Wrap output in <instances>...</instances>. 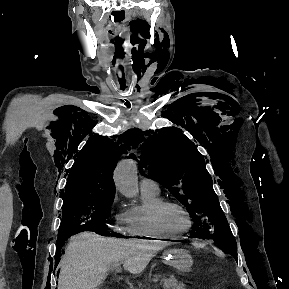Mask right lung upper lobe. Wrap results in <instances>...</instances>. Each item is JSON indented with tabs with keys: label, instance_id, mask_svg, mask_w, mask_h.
I'll list each match as a JSON object with an SVG mask.
<instances>
[{
	"label": "right lung upper lobe",
	"instance_id": "cb5924a9",
	"mask_svg": "<svg viewBox=\"0 0 289 289\" xmlns=\"http://www.w3.org/2000/svg\"><path fill=\"white\" fill-rule=\"evenodd\" d=\"M125 148L124 144L113 143L106 137L89 139L70 170L63 199L100 193L115 194L112 174Z\"/></svg>",
	"mask_w": 289,
	"mask_h": 289
}]
</instances>
